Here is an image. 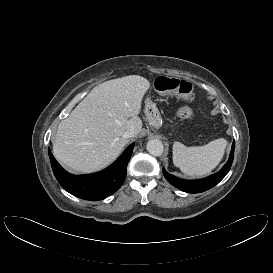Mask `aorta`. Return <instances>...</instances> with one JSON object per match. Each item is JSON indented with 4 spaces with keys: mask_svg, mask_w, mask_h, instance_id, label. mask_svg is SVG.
Listing matches in <instances>:
<instances>
[{
    "mask_svg": "<svg viewBox=\"0 0 273 273\" xmlns=\"http://www.w3.org/2000/svg\"><path fill=\"white\" fill-rule=\"evenodd\" d=\"M146 148L153 156H161L164 151L163 143L158 139L149 140Z\"/></svg>",
    "mask_w": 273,
    "mask_h": 273,
    "instance_id": "1",
    "label": "aorta"
}]
</instances>
